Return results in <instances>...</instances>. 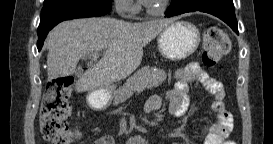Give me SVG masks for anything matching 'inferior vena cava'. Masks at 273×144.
Returning a JSON list of instances; mask_svg holds the SVG:
<instances>
[{"label": "inferior vena cava", "mask_w": 273, "mask_h": 144, "mask_svg": "<svg viewBox=\"0 0 273 144\" xmlns=\"http://www.w3.org/2000/svg\"><path fill=\"white\" fill-rule=\"evenodd\" d=\"M125 8H126V1L125 0H121V1L117 2V11L119 13H121Z\"/></svg>", "instance_id": "inferior-vena-cava-1"}]
</instances>
